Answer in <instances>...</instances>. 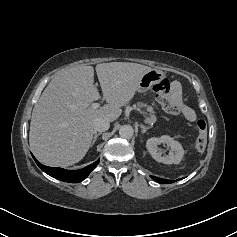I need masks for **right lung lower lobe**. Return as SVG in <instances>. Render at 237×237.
<instances>
[{"label":"right lung lower lobe","mask_w":237,"mask_h":237,"mask_svg":"<svg viewBox=\"0 0 237 237\" xmlns=\"http://www.w3.org/2000/svg\"><path fill=\"white\" fill-rule=\"evenodd\" d=\"M33 158L35 162L37 163V165L40 167V169L43 170L45 173H47L51 177H54L58 180L70 182V183H78L84 180L99 163V160H97L96 162L92 163L89 166H86L83 169L69 171L63 168H54V167H48V166L42 165L40 162H38L35 159L34 156Z\"/></svg>","instance_id":"right-lung-lower-lobe-1"}]
</instances>
